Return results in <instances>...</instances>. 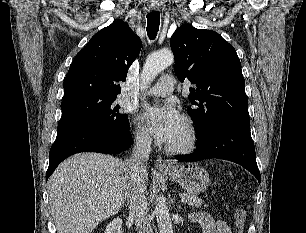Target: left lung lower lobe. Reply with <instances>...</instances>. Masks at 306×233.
<instances>
[{"label":"left lung lower lobe","mask_w":306,"mask_h":233,"mask_svg":"<svg viewBox=\"0 0 306 233\" xmlns=\"http://www.w3.org/2000/svg\"><path fill=\"white\" fill-rule=\"evenodd\" d=\"M175 158L182 161L210 158L229 160L242 165L260 183L250 124H227L215 127L197 138V149L193 153Z\"/></svg>","instance_id":"left-lung-lower-lobe-1"}]
</instances>
